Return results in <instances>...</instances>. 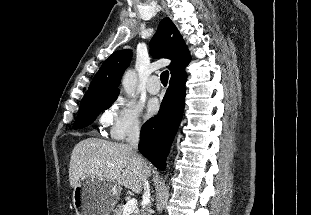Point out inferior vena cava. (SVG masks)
<instances>
[{
  "label": "inferior vena cava",
  "instance_id": "obj_1",
  "mask_svg": "<svg viewBox=\"0 0 311 215\" xmlns=\"http://www.w3.org/2000/svg\"><path fill=\"white\" fill-rule=\"evenodd\" d=\"M139 138H140V129L138 126H133L128 132L126 141L129 148L133 150L135 153H137L138 150ZM138 162L142 163V160L139 157ZM144 191L145 197H149L150 189L148 180L145 181ZM141 215H150V209L148 205L142 208Z\"/></svg>",
  "mask_w": 311,
  "mask_h": 215
}]
</instances>
